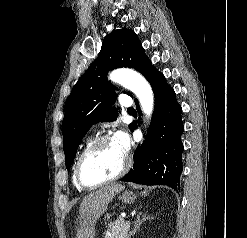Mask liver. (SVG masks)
I'll list each match as a JSON object with an SVG mask.
<instances>
[{
	"label": "liver",
	"mask_w": 247,
	"mask_h": 238,
	"mask_svg": "<svg viewBox=\"0 0 247 238\" xmlns=\"http://www.w3.org/2000/svg\"><path fill=\"white\" fill-rule=\"evenodd\" d=\"M124 186L113 183L86 196L80 204L81 229L77 238H93L95 222L106 211L114 196L122 191Z\"/></svg>",
	"instance_id": "1"
}]
</instances>
